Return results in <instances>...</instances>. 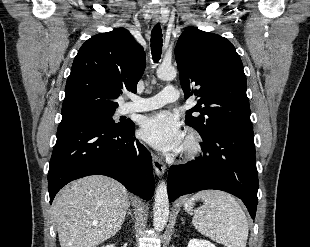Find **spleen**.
Returning a JSON list of instances; mask_svg holds the SVG:
<instances>
[{"label": "spleen", "instance_id": "obj_1", "mask_svg": "<svg viewBox=\"0 0 310 247\" xmlns=\"http://www.w3.org/2000/svg\"><path fill=\"white\" fill-rule=\"evenodd\" d=\"M203 205L193 210L195 201ZM184 209L202 235L226 247H246L248 220L237 200L219 190H204L188 198Z\"/></svg>", "mask_w": 310, "mask_h": 247}]
</instances>
